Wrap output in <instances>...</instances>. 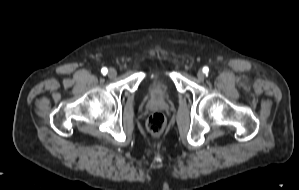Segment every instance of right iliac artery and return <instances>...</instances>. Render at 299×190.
<instances>
[{
    "instance_id": "1",
    "label": "right iliac artery",
    "mask_w": 299,
    "mask_h": 190,
    "mask_svg": "<svg viewBox=\"0 0 299 190\" xmlns=\"http://www.w3.org/2000/svg\"><path fill=\"white\" fill-rule=\"evenodd\" d=\"M107 72H108V70H107L106 67H103V68L101 69V73H102L103 75H106Z\"/></svg>"
}]
</instances>
